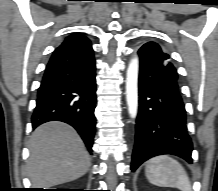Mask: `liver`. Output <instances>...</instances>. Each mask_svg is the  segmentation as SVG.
I'll list each match as a JSON object with an SVG mask.
<instances>
[{
    "mask_svg": "<svg viewBox=\"0 0 218 191\" xmlns=\"http://www.w3.org/2000/svg\"><path fill=\"white\" fill-rule=\"evenodd\" d=\"M28 176L34 188L76 180L90 167V157L77 132L62 122L39 126L29 142Z\"/></svg>",
    "mask_w": 218,
    "mask_h": 191,
    "instance_id": "liver-1",
    "label": "liver"
}]
</instances>
